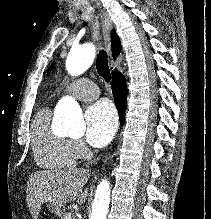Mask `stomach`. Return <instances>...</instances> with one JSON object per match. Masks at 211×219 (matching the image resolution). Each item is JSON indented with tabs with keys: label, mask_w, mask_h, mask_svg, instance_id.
I'll return each mask as SVG.
<instances>
[{
	"label": "stomach",
	"mask_w": 211,
	"mask_h": 219,
	"mask_svg": "<svg viewBox=\"0 0 211 219\" xmlns=\"http://www.w3.org/2000/svg\"><path fill=\"white\" fill-rule=\"evenodd\" d=\"M48 209L51 213H53L56 216H62L64 214V207L59 204L49 203Z\"/></svg>",
	"instance_id": "1"
}]
</instances>
